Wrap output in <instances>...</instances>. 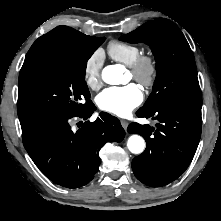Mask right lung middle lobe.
<instances>
[{"mask_svg": "<svg viewBox=\"0 0 221 221\" xmlns=\"http://www.w3.org/2000/svg\"><path fill=\"white\" fill-rule=\"evenodd\" d=\"M105 37L51 53L19 75L20 122L54 113H77L88 106L85 82L88 59Z\"/></svg>", "mask_w": 221, "mask_h": 221, "instance_id": "1", "label": "right lung middle lobe"}]
</instances>
